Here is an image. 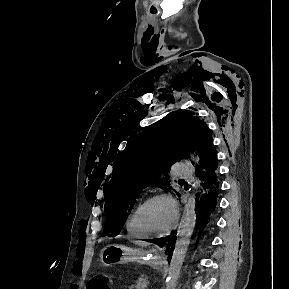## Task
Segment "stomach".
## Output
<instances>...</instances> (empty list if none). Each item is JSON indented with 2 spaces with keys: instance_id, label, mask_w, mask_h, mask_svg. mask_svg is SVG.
<instances>
[{
  "instance_id": "0dacf381",
  "label": "stomach",
  "mask_w": 289,
  "mask_h": 289,
  "mask_svg": "<svg viewBox=\"0 0 289 289\" xmlns=\"http://www.w3.org/2000/svg\"><path fill=\"white\" fill-rule=\"evenodd\" d=\"M100 258L104 266L127 262H142L158 266L161 259L157 252L147 253L119 244H111L103 248L100 253Z\"/></svg>"
}]
</instances>
